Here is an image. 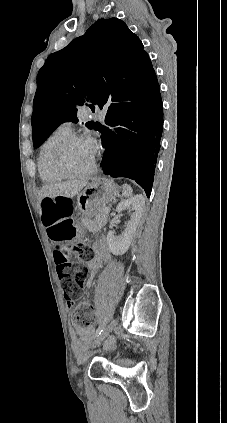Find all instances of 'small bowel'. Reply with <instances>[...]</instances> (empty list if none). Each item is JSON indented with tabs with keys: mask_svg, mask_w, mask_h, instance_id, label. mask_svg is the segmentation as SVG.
<instances>
[{
	"mask_svg": "<svg viewBox=\"0 0 227 423\" xmlns=\"http://www.w3.org/2000/svg\"><path fill=\"white\" fill-rule=\"evenodd\" d=\"M67 222H71V219L64 218L52 224L45 225L49 238L53 240L54 242H56L54 237V230L56 229L58 225H61ZM103 259H106V260L109 259L106 252L103 254H98L95 257H93L91 260L87 261V269L89 270V277L86 284L88 287H90L93 284L94 276L97 270L99 269ZM73 305H74L73 301H67V308H72ZM74 327L80 338L74 344V351L78 356H80L83 352V349L89 345L94 335V328L93 327L82 328L77 326L76 324L74 325Z\"/></svg>",
	"mask_w": 227,
	"mask_h": 423,
	"instance_id": "c3829d8e",
	"label": "small bowel"
}]
</instances>
